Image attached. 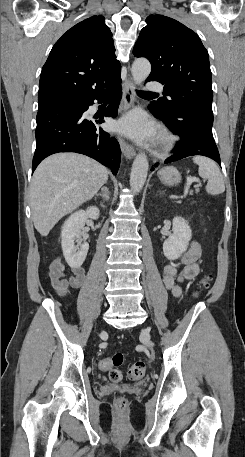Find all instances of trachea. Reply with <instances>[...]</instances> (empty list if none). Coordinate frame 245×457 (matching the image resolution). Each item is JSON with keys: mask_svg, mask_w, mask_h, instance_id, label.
Returning a JSON list of instances; mask_svg holds the SVG:
<instances>
[{"mask_svg": "<svg viewBox=\"0 0 245 457\" xmlns=\"http://www.w3.org/2000/svg\"><path fill=\"white\" fill-rule=\"evenodd\" d=\"M137 93L139 95H141V94H143V95H157L154 92H145L144 90H137Z\"/></svg>", "mask_w": 245, "mask_h": 457, "instance_id": "obj_1", "label": "trachea"}]
</instances>
